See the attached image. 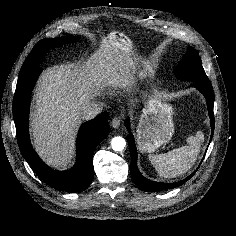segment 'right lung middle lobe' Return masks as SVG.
Returning a JSON list of instances; mask_svg holds the SVG:
<instances>
[{
  "mask_svg": "<svg viewBox=\"0 0 236 236\" xmlns=\"http://www.w3.org/2000/svg\"><path fill=\"white\" fill-rule=\"evenodd\" d=\"M79 40V38L74 36H64L61 38H55V39H43L39 41L28 57L26 58L19 75L23 74L24 72H27L28 70L37 67L44 58L45 54L51 49L58 46H62L68 43H73Z\"/></svg>",
  "mask_w": 236,
  "mask_h": 236,
  "instance_id": "dd1d6c3e",
  "label": "right lung middle lobe"
}]
</instances>
